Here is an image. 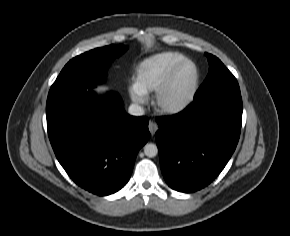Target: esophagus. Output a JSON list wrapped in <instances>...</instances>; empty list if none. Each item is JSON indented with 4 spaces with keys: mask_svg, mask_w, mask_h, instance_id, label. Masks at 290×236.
<instances>
[{
    "mask_svg": "<svg viewBox=\"0 0 290 236\" xmlns=\"http://www.w3.org/2000/svg\"><path fill=\"white\" fill-rule=\"evenodd\" d=\"M148 128H149L151 135L153 136L156 133V131L158 130V125L155 122L150 121Z\"/></svg>",
    "mask_w": 290,
    "mask_h": 236,
    "instance_id": "obj_1",
    "label": "esophagus"
}]
</instances>
